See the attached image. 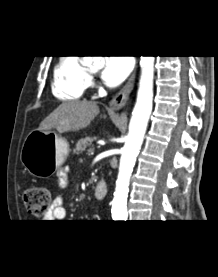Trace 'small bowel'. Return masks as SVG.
I'll return each instance as SVG.
<instances>
[{
    "label": "small bowel",
    "mask_w": 218,
    "mask_h": 277,
    "mask_svg": "<svg viewBox=\"0 0 218 277\" xmlns=\"http://www.w3.org/2000/svg\"><path fill=\"white\" fill-rule=\"evenodd\" d=\"M69 175V169L67 167H62L57 173V184L59 188H64L67 184V178ZM67 216V211L64 205L63 198L58 196L54 199L52 208L46 214L45 220L49 221H61Z\"/></svg>",
    "instance_id": "small-bowel-1"
}]
</instances>
